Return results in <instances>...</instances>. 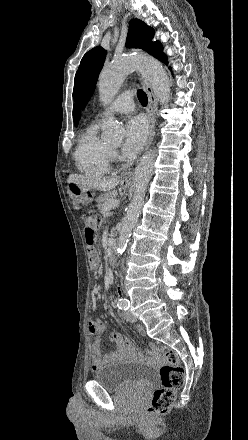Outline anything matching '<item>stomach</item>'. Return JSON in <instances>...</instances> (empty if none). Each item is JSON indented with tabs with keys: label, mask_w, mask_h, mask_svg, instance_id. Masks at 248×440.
<instances>
[{
	"label": "stomach",
	"mask_w": 248,
	"mask_h": 440,
	"mask_svg": "<svg viewBox=\"0 0 248 440\" xmlns=\"http://www.w3.org/2000/svg\"><path fill=\"white\" fill-rule=\"evenodd\" d=\"M121 183L125 187L129 186L127 181L123 180ZM67 192L73 204L77 207L89 206L91 202L94 201L95 193L89 187L77 183H70L67 187Z\"/></svg>",
	"instance_id": "1"
}]
</instances>
